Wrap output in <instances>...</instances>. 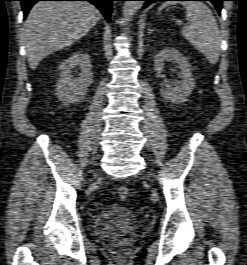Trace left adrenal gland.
I'll list each match as a JSON object with an SVG mask.
<instances>
[{"mask_svg":"<svg viewBox=\"0 0 247 265\" xmlns=\"http://www.w3.org/2000/svg\"><path fill=\"white\" fill-rule=\"evenodd\" d=\"M153 31H156V29H152L151 27H149V29H148V35L151 34Z\"/></svg>","mask_w":247,"mask_h":265,"instance_id":"a2214340","label":"left adrenal gland"}]
</instances>
